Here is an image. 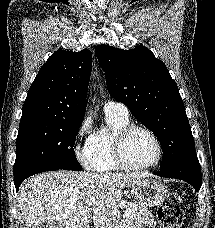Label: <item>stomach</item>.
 Listing matches in <instances>:
<instances>
[{
	"mask_svg": "<svg viewBox=\"0 0 215 228\" xmlns=\"http://www.w3.org/2000/svg\"><path fill=\"white\" fill-rule=\"evenodd\" d=\"M131 194L143 204H150V206H159L164 202L167 196V188L159 182V180H152V178H143L137 184L130 186Z\"/></svg>",
	"mask_w": 215,
	"mask_h": 228,
	"instance_id": "1",
	"label": "stomach"
}]
</instances>
